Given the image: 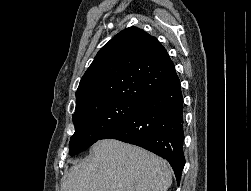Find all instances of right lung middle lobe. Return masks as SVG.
I'll return each instance as SVG.
<instances>
[{
  "mask_svg": "<svg viewBox=\"0 0 251 191\" xmlns=\"http://www.w3.org/2000/svg\"><path fill=\"white\" fill-rule=\"evenodd\" d=\"M139 103L126 101L106 102L75 111L73 124L75 133L70 139V156H74L119 125L134 113Z\"/></svg>",
  "mask_w": 251,
  "mask_h": 191,
  "instance_id": "1",
  "label": "right lung middle lobe"
}]
</instances>
